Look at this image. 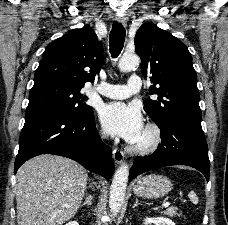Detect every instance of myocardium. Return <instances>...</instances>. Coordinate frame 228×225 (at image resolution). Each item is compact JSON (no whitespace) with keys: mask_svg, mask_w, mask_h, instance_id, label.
I'll list each match as a JSON object with an SVG mask.
<instances>
[{"mask_svg":"<svg viewBox=\"0 0 228 225\" xmlns=\"http://www.w3.org/2000/svg\"><path fill=\"white\" fill-rule=\"evenodd\" d=\"M146 141L144 143H132L128 149L134 153L149 154L156 151L162 142V133L160 128L153 123H149L143 131Z\"/></svg>","mask_w":228,"mask_h":225,"instance_id":"obj_1","label":"myocardium"}]
</instances>
